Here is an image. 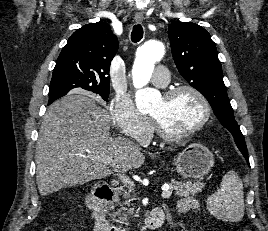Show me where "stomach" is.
I'll list each match as a JSON object with an SVG mask.
<instances>
[{"instance_id":"obj_1","label":"stomach","mask_w":268,"mask_h":231,"mask_svg":"<svg viewBox=\"0 0 268 231\" xmlns=\"http://www.w3.org/2000/svg\"><path fill=\"white\" fill-rule=\"evenodd\" d=\"M178 174L183 178H203L214 165L213 153L199 143L188 145L174 160Z\"/></svg>"}]
</instances>
